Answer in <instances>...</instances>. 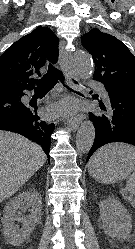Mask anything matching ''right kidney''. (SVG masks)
Returning a JSON list of instances; mask_svg holds the SVG:
<instances>
[{
    "label": "right kidney",
    "instance_id": "obj_1",
    "mask_svg": "<svg viewBox=\"0 0 135 249\" xmlns=\"http://www.w3.org/2000/svg\"><path fill=\"white\" fill-rule=\"evenodd\" d=\"M30 214L25 217L18 209L30 208ZM42 216L41 194L35 191H25L11 199L5 206L3 217V234L13 246H20L33 232L35 226L40 223ZM15 221L22 223L19 228Z\"/></svg>",
    "mask_w": 135,
    "mask_h": 249
}]
</instances>
